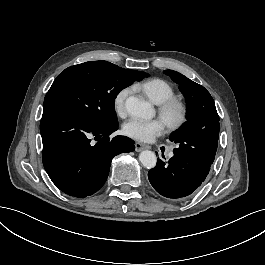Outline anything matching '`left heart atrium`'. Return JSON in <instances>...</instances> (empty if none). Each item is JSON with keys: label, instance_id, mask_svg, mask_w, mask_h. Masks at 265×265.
I'll return each mask as SVG.
<instances>
[{"label": "left heart atrium", "instance_id": "left-heart-atrium-1", "mask_svg": "<svg viewBox=\"0 0 265 265\" xmlns=\"http://www.w3.org/2000/svg\"><path fill=\"white\" fill-rule=\"evenodd\" d=\"M164 131V124L159 119H131L123 127L126 136L142 142L154 140Z\"/></svg>", "mask_w": 265, "mask_h": 265}]
</instances>
